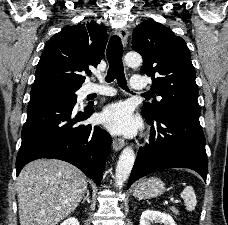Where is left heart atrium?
I'll return each mask as SVG.
<instances>
[{
    "instance_id": "1",
    "label": "left heart atrium",
    "mask_w": 228,
    "mask_h": 225,
    "mask_svg": "<svg viewBox=\"0 0 228 225\" xmlns=\"http://www.w3.org/2000/svg\"><path fill=\"white\" fill-rule=\"evenodd\" d=\"M101 120L114 134L133 135L139 127V122L133 117L131 109L123 102L107 106L101 114Z\"/></svg>"
}]
</instances>
